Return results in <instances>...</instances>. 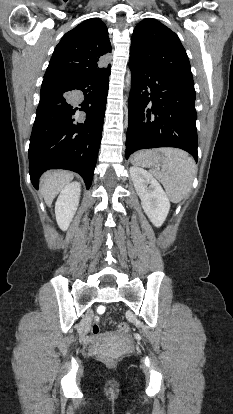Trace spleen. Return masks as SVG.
<instances>
[{
	"label": "spleen",
	"mask_w": 233,
	"mask_h": 414,
	"mask_svg": "<svg viewBox=\"0 0 233 414\" xmlns=\"http://www.w3.org/2000/svg\"><path fill=\"white\" fill-rule=\"evenodd\" d=\"M164 160L161 170L152 168L151 173L162 183L167 195L174 203H179L189 196L197 166L192 157L180 149L168 148L162 151ZM137 166L148 167L138 158V153L132 158Z\"/></svg>",
	"instance_id": "spleen-1"
}]
</instances>
